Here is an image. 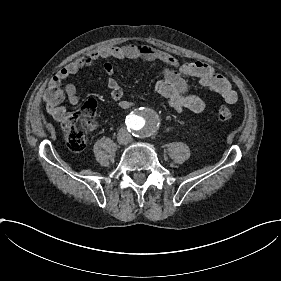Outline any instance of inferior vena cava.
Listing matches in <instances>:
<instances>
[{"mask_svg":"<svg viewBox=\"0 0 281 281\" xmlns=\"http://www.w3.org/2000/svg\"><path fill=\"white\" fill-rule=\"evenodd\" d=\"M118 139L121 144H128L131 141V136L126 130H124V132L120 130L118 132Z\"/></svg>","mask_w":281,"mask_h":281,"instance_id":"obj_1","label":"inferior vena cava"}]
</instances>
